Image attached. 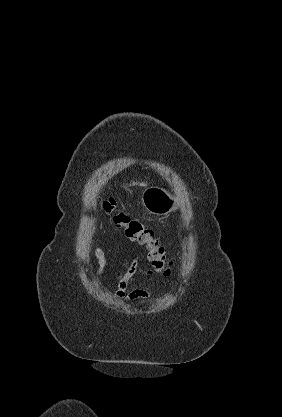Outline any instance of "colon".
Returning <instances> with one entry per match:
<instances>
[{
	"label": "colon",
	"mask_w": 282,
	"mask_h": 417,
	"mask_svg": "<svg viewBox=\"0 0 282 417\" xmlns=\"http://www.w3.org/2000/svg\"><path fill=\"white\" fill-rule=\"evenodd\" d=\"M100 200L104 210L113 217L115 224L123 229L129 238L146 248L153 267L168 272L167 264L170 262L166 258L164 247L156 239L153 230L139 220L131 219L125 211L118 208L117 202L113 198L101 196Z\"/></svg>",
	"instance_id": "1"
}]
</instances>
